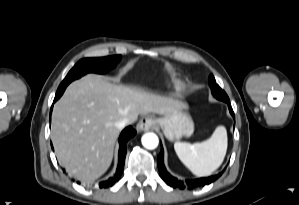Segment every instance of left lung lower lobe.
<instances>
[{
	"instance_id": "left-lung-lower-lobe-1",
	"label": "left lung lower lobe",
	"mask_w": 299,
	"mask_h": 205,
	"mask_svg": "<svg viewBox=\"0 0 299 205\" xmlns=\"http://www.w3.org/2000/svg\"><path fill=\"white\" fill-rule=\"evenodd\" d=\"M222 101L226 102L228 104L229 107V111L231 113V115L233 117L234 116V112L231 108L230 105V101L229 98L228 99H222ZM157 162H158V168H159V173L160 176L162 177V179L164 180V182L166 184H168L169 186L173 187V188H179V189H194V188H198L201 186H205L207 184L212 183L213 181H215L219 176L222 175V173H219L218 175L215 176H210L207 178H199V179H195V180H186V181H180L177 178L171 176L163 163V148L161 149L160 154L157 157Z\"/></svg>"
}]
</instances>
